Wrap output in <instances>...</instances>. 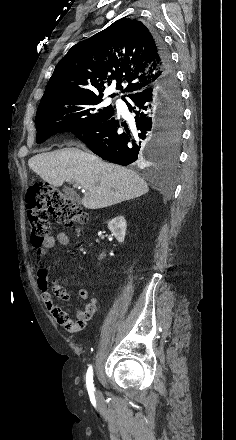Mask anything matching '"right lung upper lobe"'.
Returning a JSON list of instances; mask_svg holds the SVG:
<instances>
[{
  "mask_svg": "<svg viewBox=\"0 0 236 440\" xmlns=\"http://www.w3.org/2000/svg\"><path fill=\"white\" fill-rule=\"evenodd\" d=\"M161 75L150 29L124 17L69 50L55 67L41 102L77 94L102 97L113 81L116 89L131 95L154 84ZM121 83L127 84L125 88Z\"/></svg>",
  "mask_w": 236,
  "mask_h": 440,
  "instance_id": "1",
  "label": "right lung upper lobe"
}]
</instances>
